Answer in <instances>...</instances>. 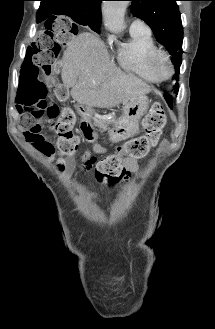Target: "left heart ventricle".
<instances>
[{
  "mask_svg": "<svg viewBox=\"0 0 215 329\" xmlns=\"http://www.w3.org/2000/svg\"><path fill=\"white\" fill-rule=\"evenodd\" d=\"M160 70L162 72L163 75H166L168 73V67L167 65L163 62L160 65Z\"/></svg>",
  "mask_w": 215,
  "mask_h": 329,
  "instance_id": "1",
  "label": "left heart ventricle"
}]
</instances>
